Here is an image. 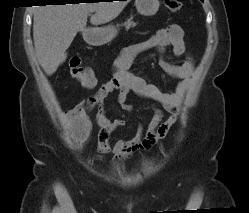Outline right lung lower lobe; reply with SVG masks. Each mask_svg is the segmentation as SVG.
<instances>
[{
  "mask_svg": "<svg viewBox=\"0 0 249 213\" xmlns=\"http://www.w3.org/2000/svg\"><path fill=\"white\" fill-rule=\"evenodd\" d=\"M67 0H47V2H52V3H58L59 4H64V3H67L65 2ZM110 1V0H109ZM126 1V0H125Z\"/></svg>",
  "mask_w": 249,
  "mask_h": 213,
  "instance_id": "right-lung-lower-lobe-1",
  "label": "right lung lower lobe"
}]
</instances>
